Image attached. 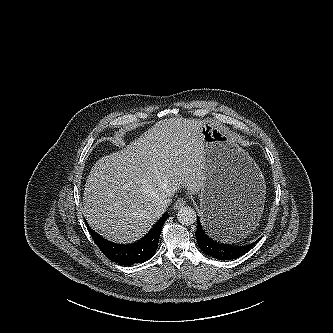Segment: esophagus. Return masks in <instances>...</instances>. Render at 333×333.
I'll use <instances>...</instances> for the list:
<instances>
[{
  "label": "esophagus",
  "instance_id": "obj_1",
  "mask_svg": "<svg viewBox=\"0 0 333 333\" xmlns=\"http://www.w3.org/2000/svg\"><path fill=\"white\" fill-rule=\"evenodd\" d=\"M185 204H186L185 199L180 198L174 203L173 208L177 210L182 208Z\"/></svg>",
  "mask_w": 333,
  "mask_h": 333
}]
</instances>
